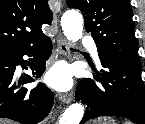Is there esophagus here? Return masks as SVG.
I'll list each match as a JSON object with an SVG mask.
<instances>
[{"label":"esophagus","instance_id":"34e87169","mask_svg":"<svg viewBox=\"0 0 145 124\" xmlns=\"http://www.w3.org/2000/svg\"><path fill=\"white\" fill-rule=\"evenodd\" d=\"M55 10L58 12L60 6H55ZM57 51L63 57H69L70 55L69 43L61 34L57 36ZM59 99L64 103H70L73 100V92L61 94Z\"/></svg>","mask_w":145,"mask_h":124}]
</instances>
